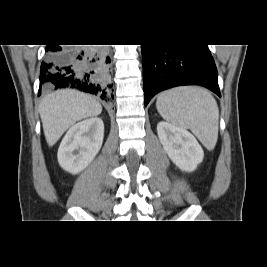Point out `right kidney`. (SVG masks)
Masks as SVG:
<instances>
[{"label":"right kidney","mask_w":267,"mask_h":267,"mask_svg":"<svg viewBox=\"0 0 267 267\" xmlns=\"http://www.w3.org/2000/svg\"><path fill=\"white\" fill-rule=\"evenodd\" d=\"M103 137L104 124L98 117L75 124L68 130L59 146V165L72 174L81 172L99 152Z\"/></svg>","instance_id":"obj_1"}]
</instances>
